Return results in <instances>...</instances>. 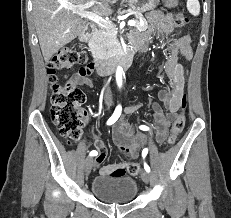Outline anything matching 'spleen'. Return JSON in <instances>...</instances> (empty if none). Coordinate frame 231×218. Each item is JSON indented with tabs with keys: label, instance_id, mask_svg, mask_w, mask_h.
Listing matches in <instances>:
<instances>
[{
	"label": "spleen",
	"instance_id": "obj_1",
	"mask_svg": "<svg viewBox=\"0 0 231 218\" xmlns=\"http://www.w3.org/2000/svg\"><path fill=\"white\" fill-rule=\"evenodd\" d=\"M187 9L192 15L198 16L200 13L199 0H187Z\"/></svg>",
	"mask_w": 231,
	"mask_h": 218
}]
</instances>
